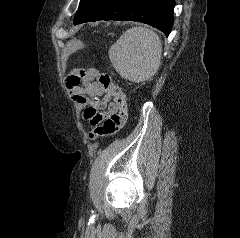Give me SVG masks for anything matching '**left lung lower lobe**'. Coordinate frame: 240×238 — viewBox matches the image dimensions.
Wrapping results in <instances>:
<instances>
[{
    "label": "left lung lower lobe",
    "instance_id": "obj_1",
    "mask_svg": "<svg viewBox=\"0 0 240 238\" xmlns=\"http://www.w3.org/2000/svg\"><path fill=\"white\" fill-rule=\"evenodd\" d=\"M174 6V0H91L74 24L97 20L139 21L168 36L173 26Z\"/></svg>",
    "mask_w": 240,
    "mask_h": 238
}]
</instances>
